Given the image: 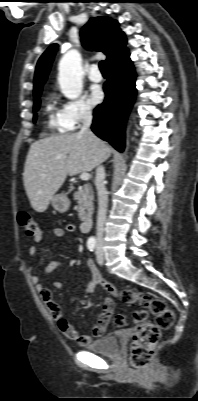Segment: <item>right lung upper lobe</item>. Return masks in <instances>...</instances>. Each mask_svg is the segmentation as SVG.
<instances>
[{
	"instance_id": "obj_1",
	"label": "right lung upper lobe",
	"mask_w": 198,
	"mask_h": 401,
	"mask_svg": "<svg viewBox=\"0 0 198 401\" xmlns=\"http://www.w3.org/2000/svg\"><path fill=\"white\" fill-rule=\"evenodd\" d=\"M81 37L86 49L106 54L108 65L127 51L124 32L120 30L117 21L108 17L91 18L82 28ZM57 47V44L51 45L38 60L34 78V95L42 91Z\"/></svg>"
}]
</instances>
